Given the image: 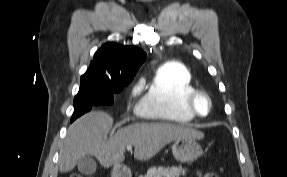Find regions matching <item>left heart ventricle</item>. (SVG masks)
<instances>
[{
    "mask_svg": "<svg viewBox=\"0 0 287 177\" xmlns=\"http://www.w3.org/2000/svg\"><path fill=\"white\" fill-rule=\"evenodd\" d=\"M198 109L201 113H206V111H207V104L203 98H200L198 100Z\"/></svg>",
    "mask_w": 287,
    "mask_h": 177,
    "instance_id": "b2bd125f",
    "label": "left heart ventricle"
}]
</instances>
